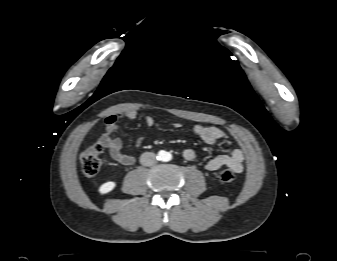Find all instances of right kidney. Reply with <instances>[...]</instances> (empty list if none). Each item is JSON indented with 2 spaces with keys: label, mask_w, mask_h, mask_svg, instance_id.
Segmentation results:
<instances>
[{
  "label": "right kidney",
  "mask_w": 337,
  "mask_h": 261,
  "mask_svg": "<svg viewBox=\"0 0 337 261\" xmlns=\"http://www.w3.org/2000/svg\"><path fill=\"white\" fill-rule=\"evenodd\" d=\"M115 186H116V183H115V182H113V181H108V182H106V183H104V184H102V185L100 186L99 192H100L101 194H106V193L112 191V190L115 188Z\"/></svg>",
  "instance_id": "ca27d5eb"
}]
</instances>
